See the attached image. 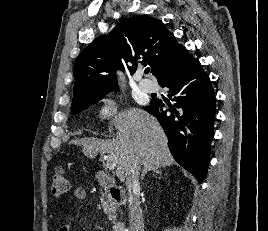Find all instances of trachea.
Listing matches in <instances>:
<instances>
[{
	"label": "trachea",
	"instance_id": "1",
	"mask_svg": "<svg viewBox=\"0 0 268 231\" xmlns=\"http://www.w3.org/2000/svg\"><path fill=\"white\" fill-rule=\"evenodd\" d=\"M150 72V68L145 69V73L148 74Z\"/></svg>",
	"mask_w": 268,
	"mask_h": 231
}]
</instances>
